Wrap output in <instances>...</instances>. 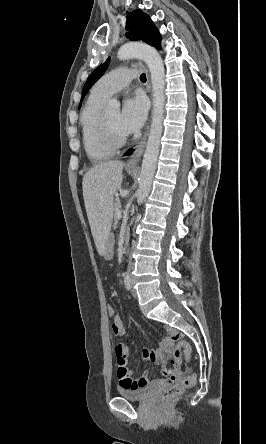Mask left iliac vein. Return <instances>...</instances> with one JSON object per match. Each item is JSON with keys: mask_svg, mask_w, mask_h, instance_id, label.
<instances>
[{"mask_svg": "<svg viewBox=\"0 0 266 444\" xmlns=\"http://www.w3.org/2000/svg\"><path fill=\"white\" fill-rule=\"evenodd\" d=\"M133 286V283H132V281H131V287ZM131 293H132V295L134 296V297H136V291L132 288V290H131Z\"/></svg>", "mask_w": 266, "mask_h": 444, "instance_id": "obj_1", "label": "left iliac vein"}]
</instances>
